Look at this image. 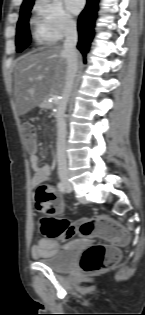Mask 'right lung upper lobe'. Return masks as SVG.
I'll use <instances>...</instances> for the list:
<instances>
[{
	"mask_svg": "<svg viewBox=\"0 0 145 315\" xmlns=\"http://www.w3.org/2000/svg\"><path fill=\"white\" fill-rule=\"evenodd\" d=\"M33 2H34V0H24L22 6H26V5L31 4Z\"/></svg>",
	"mask_w": 145,
	"mask_h": 315,
	"instance_id": "1",
	"label": "right lung upper lobe"
}]
</instances>
